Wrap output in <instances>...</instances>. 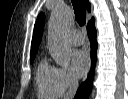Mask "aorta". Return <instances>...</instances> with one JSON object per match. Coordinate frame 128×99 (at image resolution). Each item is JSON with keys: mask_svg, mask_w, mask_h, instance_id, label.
I'll return each mask as SVG.
<instances>
[{"mask_svg": "<svg viewBox=\"0 0 128 99\" xmlns=\"http://www.w3.org/2000/svg\"><path fill=\"white\" fill-rule=\"evenodd\" d=\"M71 20V10L63 6L52 11L49 21L48 43L51 55L56 64L62 66L71 60V47L66 39V29Z\"/></svg>", "mask_w": 128, "mask_h": 99, "instance_id": "1", "label": "aorta"}]
</instances>
